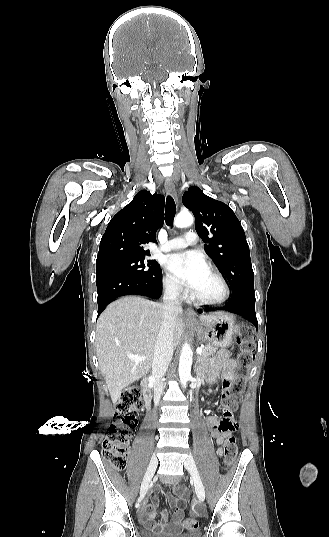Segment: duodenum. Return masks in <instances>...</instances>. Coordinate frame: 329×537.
<instances>
[{"label":"duodenum","instance_id":"1","mask_svg":"<svg viewBox=\"0 0 329 537\" xmlns=\"http://www.w3.org/2000/svg\"><path fill=\"white\" fill-rule=\"evenodd\" d=\"M142 387H143V396H144L145 406L147 410H149L151 406L152 395H151V388H150L149 380L147 378L143 380Z\"/></svg>","mask_w":329,"mask_h":537}]
</instances>
